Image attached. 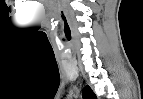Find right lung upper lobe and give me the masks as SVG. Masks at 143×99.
Masks as SVG:
<instances>
[{
    "mask_svg": "<svg viewBox=\"0 0 143 99\" xmlns=\"http://www.w3.org/2000/svg\"><path fill=\"white\" fill-rule=\"evenodd\" d=\"M83 98L84 99H96V95L92 91V89L89 86H85L83 89Z\"/></svg>",
    "mask_w": 143,
    "mask_h": 99,
    "instance_id": "1",
    "label": "right lung upper lobe"
}]
</instances>
